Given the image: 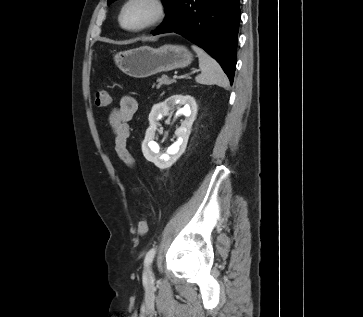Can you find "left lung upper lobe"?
Wrapping results in <instances>:
<instances>
[{"instance_id": "5c2ea615", "label": "left lung upper lobe", "mask_w": 363, "mask_h": 317, "mask_svg": "<svg viewBox=\"0 0 363 317\" xmlns=\"http://www.w3.org/2000/svg\"><path fill=\"white\" fill-rule=\"evenodd\" d=\"M114 0H108V4H110L111 2H113ZM163 1V3H164V5H165V7H167L169 4H170V2L172 1V0H162Z\"/></svg>"}]
</instances>
